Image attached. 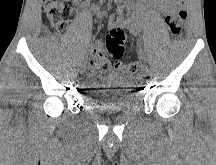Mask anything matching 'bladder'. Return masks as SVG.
<instances>
[{
  "label": "bladder",
  "mask_w": 216,
  "mask_h": 165,
  "mask_svg": "<svg viewBox=\"0 0 216 165\" xmlns=\"http://www.w3.org/2000/svg\"><path fill=\"white\" fill-rule=\"evenodd\" d=\"M90 89H83L82 93L90 97L93 111H120L134 106L137 98L133 86L132 76H126L118 71H110L108 76H94L86 78Z\"/></svg>",
  "instance_id": "obj_1"
}]
</instances>
